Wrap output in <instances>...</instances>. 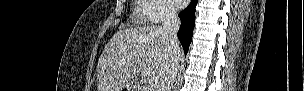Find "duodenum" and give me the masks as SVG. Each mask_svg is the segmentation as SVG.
Segmentation results:
<instances>
[{"instance_id":"410a0bca","label":"duodenum","mask_w":304,"mask_h":91,"mask_svg":"<svg viewBox=\"0 0 304 91\" xmlns=\"http://www.w3.org/2000/svg\"><path fill=\"white\" fill-rule=\"evenodd\" d=\"M132 90L133 91H142V89H140V86L138 84H133L132 85Z\"/></svg>"}]
</instances>
